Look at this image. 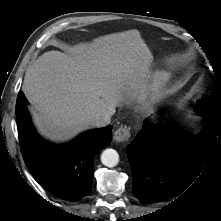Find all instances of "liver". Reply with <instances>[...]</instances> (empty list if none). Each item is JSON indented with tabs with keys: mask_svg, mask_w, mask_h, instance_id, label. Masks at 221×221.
<instances>
[{
	"mask_svg": "<svg viewBox=\"0 0 221 221\" xmlns=\"http://www.w3.org/2000/svg\"><path fill=\"white\" fill-rule=\"evenodd\" d=\"M68 52H45L27 69L22 85L38 131L52 140L69 139L89 129L95 113L138 97L152 59L138 30Z\"/></svg>",
	"mask_w": 221,
	"mask_h": 221,
	"instance_id": "liver-1",
	"label": "liver"
}]
</instances>
